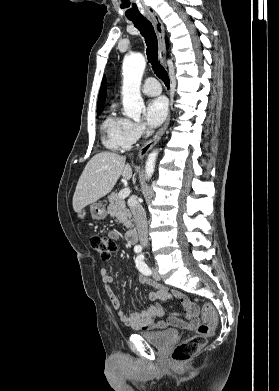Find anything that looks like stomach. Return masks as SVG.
Masks as SVG:
<instances>
[{"label": "stomach", "instance_id": "stomach-1", "mask_svg": "<svg viewBox=\"0 0 279 391\" xmlns=\"http://www.w3.org/2000/svg\"><path fill=\"white\" fill-rule=\"evenodd\" d=\"M90 213L95 220H102L107 216L105 206L102 203H92L90 205ZM85 216L86 211L84 208L77 212V217L79 219H84Z\"/></svg>", "mask_w": 279, "mask_h": 391}]
</instances>
